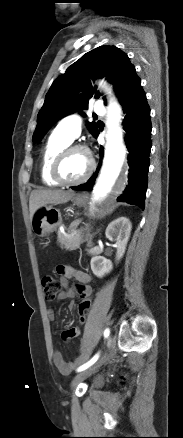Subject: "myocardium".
I'll use <instances>...</instances> for the list:
<instances>
[{"mask_svg":"<svg viewBox=\"0 0 183 438\" xmlns=\"http://www.w3.org/2000/svg\"><path fill=\"white\" fill-rule=\"evenodd\" d=\"M74 151H82L87 155L88 158V169L86 173L78 180L75 181H66L61 177L60 170L63 161L65 158ZM95 170V160L90 152V150L82 145V144H70L63 148L54 158L53 163L50 168V176L51 178L60 186H66V187H72V186H78L85 182H87L90 177L92 176L93 172Z\"/></svg>","mask_w":183,"mask_h":438,"instance_id":"1","label":"myocardium"}]
</instances>
